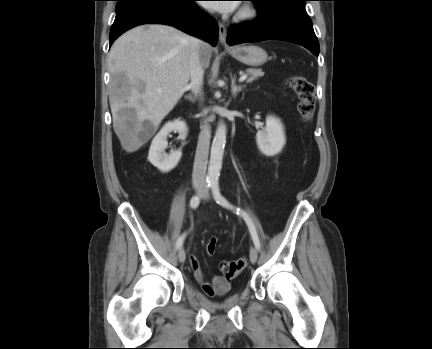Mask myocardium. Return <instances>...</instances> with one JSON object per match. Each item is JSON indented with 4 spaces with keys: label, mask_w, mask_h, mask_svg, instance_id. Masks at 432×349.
I'll list each match as a JSON object with an SVG mask.
<instances>
[{
    "label": "myocardium",
    "mask_w": 432,
    "mask_h": 349,
    "mask_svg": "<svg viewBox=\"0 0 432 349\" xmlns=\"http://www.w3.org/2000/svg\"><path fill=\"white\" fill-rule=\"evenodd\" d=\"M256 10L251 5H245L237 14L236 19L238 21H246L254 17Z\"/></svg>",
    "instance_id": "obj_1"
}]
</instances>
